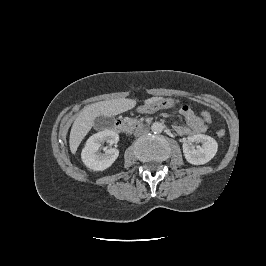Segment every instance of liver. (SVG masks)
<instances>
[{"mask_svg": "<svg viewBox=\"0 0 266 266\" xmlns=\"http://www.w3.org/2000/svg\"><path fill=\"white\" fill-rule=\"evenodd\" d=\"M161 97H152L145 100V103L157 102ZM136 105V101L127 98L112 99L106 101H100L91 105H88L82 109L77 115L71 128L69 146L72 154H75L81 141L87 135L94 125V120L102 116H115L126 112Z\"/></svg>", "mask_w": 266, "mask_h": 266, "instance_id": "1", "label": "liver"}]
</instances>
